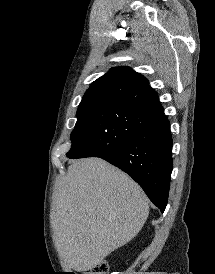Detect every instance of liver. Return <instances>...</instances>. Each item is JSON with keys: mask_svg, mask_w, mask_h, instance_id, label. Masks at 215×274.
Instances as JSON below:
<instances>
[{"mask_svg": "<svg viewBox=\"0 0 215 274\" xmlns=\"http://www.w3.org/2000/svg\"><path fill=\"white\" fill-rule=\"evenodd\" d=\"M149 215L141 187L100 158L68 167L55 186L51 224L67 268L88 271L132 240Z\"/></svg>", "mask_w": 215, "mask_h": 274, "instance_id": "liver-1", "label": "liver"}]
</instances>
